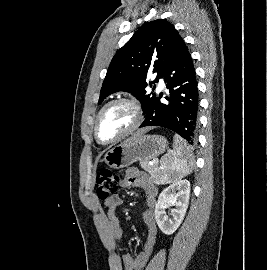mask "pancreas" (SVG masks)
Returning a JSON list of instances; mask_svg holds the SVG:
<instances>
[{"label": "pancreas", "mask_w": 267, "mask_h": 270, "mask_svg": "<svg viewBox=\"0 0 267 270\" xmlns=\"http://www.w3.org/2000/svg\"><path fill=\"white\" fill-rule=\"evenodd\" d=\"M140 166L151 175V179L154 183H159V169L156 164L150 165L148 161H141Z\"/></svg>", "instance_id": "1"}]
</instances>
